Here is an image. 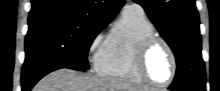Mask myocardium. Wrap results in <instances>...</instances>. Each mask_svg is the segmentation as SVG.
Wrapping results in <instances>:
<instances>
[{
    "mask_svg": "<svg viewBox=\"0 0 220 91\" xmlns=\"http://www.w3.org/2000/svg\"><path fill=\"white\" fill-rule=\"evenodd\" d=\"M156 45H163L169 53L171 58V73L169 78L165 82L154 81L148 74L146 69V61L150 51ZM135 67L138 75L144 81L151 86L155 87H166L170 85L176 77L177 73V58L172 46L163 38L158 36H151L144 41H142L136 51L135 55Z\"/></svg>",
    "mask_w": 220,
    "mask_h": 91,
    "instance_id": "f54148a6",
    "label": "myocardium"
}]
</instances>
